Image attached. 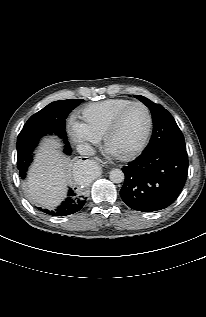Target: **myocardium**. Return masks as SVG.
<instances>
[{"label": "myocardium", "mask_w": 206, "mask_h": 317, "mask_svg": "<svg viewBox=\"0 0 206 317\" xmlns=\"http://www.w3.org/2000/svg\"><path fill=\"white\" fill-rule=\"evenodd\" d=\"M134 106H141L145 112H146V116H147V127H146V131L143 137L142 142L139 144V146H137L135 149L126 152V153H116L114 151L111 150L110 146H109V140L111 138V136L113 135V133L116 131V129L118 128L119 124L121 123L123 117L125 116V114ZM152 127H153V119H152V115H151V111L149 109V107L144 104L143 102H132L129 105L125 106L124 108H122L112 119V121L110 122V124L108 125L107 129L105 130L104 134H103V145L104 148L107 152H109L110 154H112L114 157L120 159V160H129L132 158H135L136 156H138L140 153L143 152V150L146 148V146L149 143L150 137H151V133H152Z\"/></svg>", "instance_id": "f54148a6"}]
</instances>
